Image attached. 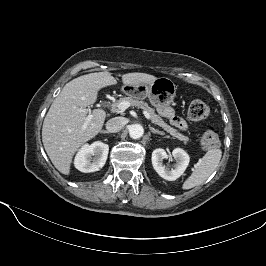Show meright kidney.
Segmentation results:
<instances>
[{
	"mask_svg": "<svg viewBox=\"0 0 266 266\" xmlns=\"http://www.w3.org/2000/svg\"><path fill=\"white\" fill-rule=\"evenodd\" d=\"M109 146L103 142L96 141L91 145L85 144L76 154L75 167L84 173L100 170L106 163Z\"/></svg>",
	"mask_w": 266,
	"mask_h": 266,
	"instance_id": "obj_1",
	"label": "right kidney"
}]
</instances>
